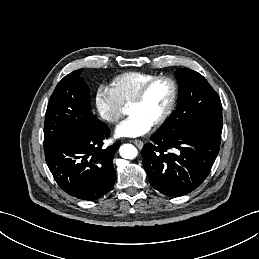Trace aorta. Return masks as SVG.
<instances>
[{
    "label": "aorta",
    "mask_w": 259,
    "mask_h": 259,
    "mask_svg": "<svg viewBox=\"0 0 259 259\" xmlns=\"http://www.w3.org/2000/svg\"><path fill=\"white\" fill-rule=\"evenodd\" d=\"M119 153L122 158L126 159H134L138 154L137 149L132 144H123L119 148Z\"/></svg>",
    "instance_id": "aorta-1"
}]
</instances>
